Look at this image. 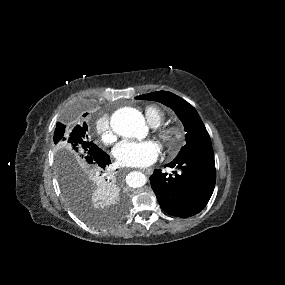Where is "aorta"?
I'll list each match as a JSON object with an SVG mask.
<instances>
[{
    "mask_svg": "<svg viewBox=\"0 0 285 285\" xmlns=\"http://www.w3.org/2000/svg\"><path fill=\"white\" fill-rule=\"evenodd\" d=\"M113 131L122 137L144 138L147 135L145 119L140 111L131 107L116 110L110 119ZM127 184L133 188L145 185L147 178L141 172H131L126 177Z\"/></svg>",
    "mask_w": 285,
    "mask_h": 285,
    "instance_id": "1",
    "label": "aorta"
}]
</instances>
